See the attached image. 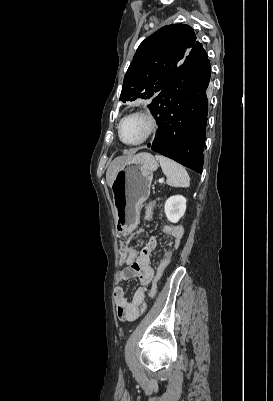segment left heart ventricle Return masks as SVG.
Segmentation results:
<instances>
[{
  "instance_id": "obj_1",
  "label": "left heart ventricle",
  "mask_w": 273,
  "mask_h": 401,
  "mask_svg": "<svg viewBox=\"0 0 273 401\" xmlns=\"http://www.w3.org/2000/svg\"><path fill=\"white\" fill-rule=\"evenodd\" d=\"M148 125L140 117L131 116L121 124L120 135L123 141L131 143L141 139L147 132Z\"/></svg>"
}]
</instances>
